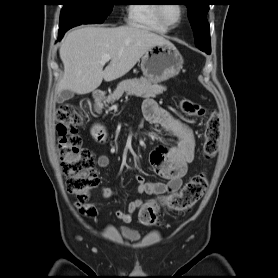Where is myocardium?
Returning a JSON list of instances; mask_svg holds the SVG:
<instances>
[{
	"label": "myocardium",
	"instance_id": "obj_1",
	"mask_svg": "<svg viewBox=\"0 0 278 278\" xmlns=\"http://www.w3.org/2000/svg\"><path fill=\"white\" fill-rule=\"evenodd\" d=\"M164 6L165 5H162V4L157 6V9H156L157 17L163 26H165L167 29H173V28L177 27L184 19L185 14H186V7L182 4H180L179 7L181 9V15H180L178 21L176 23H170L166 20V18L164 16V11H163Z\"/></svg>",
	"mask_w": 278,
	"mask_h": 278
}]
</instances>
